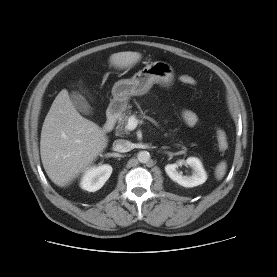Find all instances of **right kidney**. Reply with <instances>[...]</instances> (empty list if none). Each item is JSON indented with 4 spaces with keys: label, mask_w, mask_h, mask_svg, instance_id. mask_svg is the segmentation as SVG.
<instances>
[{
    "label": "right kidney",
    "mask_w": 277,
    "mask_h": 277,
    "mask_svg": "<svg viewBox=\"0 0 277 277\" xmlns=\"http://www.w3.org/2000/svg\"><path fill=\"white\" fill-rule=\"evenodd\" d=\"M111 173L112 167L108 164L91 167L83 175L80 186L84 190L95 192L103 187Z\"/></svg>",
    "instance_id": "ca27d5eb"
}]
</instances>
